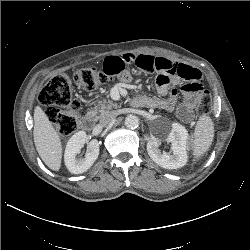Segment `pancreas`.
<instances>
[{
	"mask_svg": "<svg viewBox=\"0 0 250 250\" xmlns=\"http://www.w3.org/2000/svg\"><path fill=\"white\" fill-rule=\"evenodd\" d=\"M118 104L117 103H113L111 101H103V102H99L94 109H92L90 112L93 115H96L98 117L102 116L105 112L111 110L112 108H117Z\"/></svg>",
	"mask_w": 250,
	"mask_h": 250,
	"instance_id": "cf45deb5",
	"label": "pancreas"
}]
</instances>
